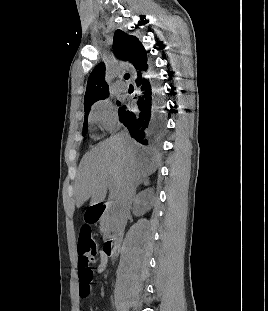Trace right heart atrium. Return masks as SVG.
Segmentation results:
<instances>
[{"label": "right heart atrium", "mask_w": 268, "mask_h": 311, "mask_svg": "<svg viewBox=\"0 0 268 311\" xmlns=\"http://www.w3.org/2000/svg\"><path fill=\"white\" fill-rule=\"evenodd\" d=\"M90 116L91 119L106 132H113L117 128V114L113 105L108 100L96 103Z\"/></svg>", "instance_id": "right-heart-atrium-1"}]
</instances>
